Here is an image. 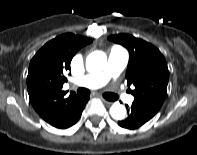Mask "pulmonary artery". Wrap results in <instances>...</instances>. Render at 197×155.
Wrapping results in <instances>:
<instances>
[{
  "mask_svg": "<svg viewBox=\"0 0 197 155\" xmlns=\"http://www.w3.org/2000/svg\"><path fill=\"white\" fill-rule=\"evenodd\" d=\"M127 61V51L121 46H113L111 48L105 69L99 73L88 74L82 78H79L75 84L88 88L102 87L122 72L127 64ZM125 99L129 103L133 101L132 97H126Z\"/></svg>",
  "mask_w": 197,
  "mask_h": 155,
  "instance_id": "e3ab8cb5",
  "label": "pulmonary artery"
}]
</instances>
